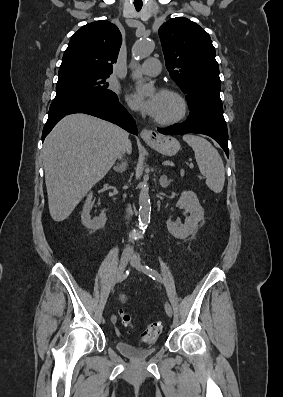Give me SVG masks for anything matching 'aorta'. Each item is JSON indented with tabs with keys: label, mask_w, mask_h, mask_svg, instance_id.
Wrapping results in <instances>:
<instances>
[{
	"label": "aorta",
	"mask_w": 283,
	"mask_h": 397,
	"mask_svg": "<svg viewBox=\"0 0 283 397\" xmlns=\"http://www.w3.org/2000/svg\"><path fill=\"white\" fill-rule=\"evenodd\" d=\"M153 50V43L148 40L138 41L132 48V55L136 59L146 58ZM136 89L142 94H150L153 91V86L145 84L141 80H137ZM151 203L149 197L148 182L144 179L141 182V190L139 194V225L142 229L146 228L150 222Z\"/></svg>",
	"instance_id": "762f6f07"
}]
</instances>
